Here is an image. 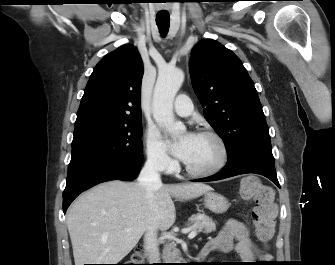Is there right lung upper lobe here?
I'll use <instances>...</instances> for the list:
<instances>
[{
	"instance_id": "right-lung-upper-lobe-1",
	"label": "right lung upper lobe",
	"mask_w": 335,
	"mask_h": 265,
	"mask_svg": "<svg viewBox=\"0 0 335 265\" xmlns=\"http://www.w3.org/2000/svg\"><path fill=\"white\" fill-rule=\"evenodd\" d=\"M142 75L136 47L126 44L104 56L89 78L75 128L140 120Z\"/></svg>"
}]
</instances>
